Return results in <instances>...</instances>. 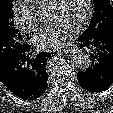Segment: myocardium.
Masks as SVG:
<instances>
[{"mask_svg": "<svg viewBox=\"0 0 113 113\" xmlns=\"http://www.w3.org/2000/svg\"><path fill=\"white\" fill-rule=\"evenodd\" d=\"M62 0H52L48 5V8L54 9L56 8ZM86 1V12L84 17L80 20V22L76 25V29L80 30L85 25L88 24L90 21L92 14H93V1L92 0H85Z\"/></svg>", "mask_w": 113, "mask_h": 113, "instance_id": "1", "label": "myocardium"}]
</instances>
